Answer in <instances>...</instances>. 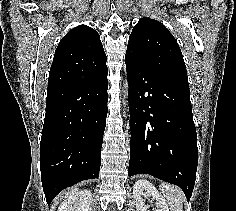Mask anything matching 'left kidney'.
I'll return each instance as SVG.
<instances>
[{"mask_svg":"<svg viewBox=\"0 0 236 211\" xmlns=\"http://www.w3.org/2000/svg\"><path fill=\"white\" fill-rule=\"evenodd\" d=\"M133 196L137 211H148L149 206L145 204V199L148 197H152L156 200V209H154V211H169L166 200L147 180L141 179L135 182L133 186Z\"/></svg>","mask_w":236,"mask_h":211,"instance_id":"1","label":"left kidney"}]
</instances>
